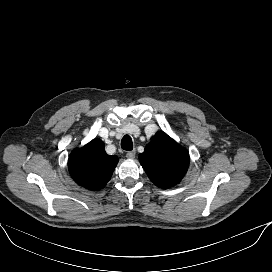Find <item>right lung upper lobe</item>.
<instances>
[{"mask_svg":"<svg viewBox=\"0 0 272 272\" xmlns=\"http://www.w3.org/2000/svg\"><path fill=\"white\" fill-rule=\"evenodd\" d=\"M104 146L103 141L94 139L84 147L72 151L68 168L78 185L89 190H99L110 180L118 158L108 155Z\"/></svg>","mask_w":272,"mask_h":272,"instance_id":"obj_1","label":"right lung upper lobe"}]
</instances>
